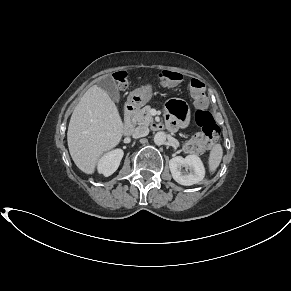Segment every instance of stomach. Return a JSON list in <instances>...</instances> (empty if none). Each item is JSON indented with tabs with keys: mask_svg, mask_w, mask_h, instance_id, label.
Masks as SVG:
<instances>
[{
	"mask_svg": "<svg viewBox=\"0 0 291 291\" xmlns=\"http://www.w3.org/2000/svg\"><path fill=\"white\" fill-rule=\"evenodd\" d=\"M152 97V87L151 85L142 86L138 89L132 91L128 96V103L141 107L145 105Z\"/></svg>",
	"mask_w": 291,
	"mask_h": 291,
	"instance_id": "obj_1",
	"label": "stomach"
}]
</instances>
